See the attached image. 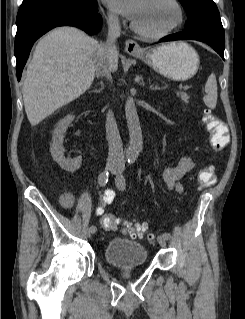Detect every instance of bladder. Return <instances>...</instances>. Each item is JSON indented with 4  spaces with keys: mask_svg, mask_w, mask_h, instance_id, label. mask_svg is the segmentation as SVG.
I'll use <instances>...</instances> for the list:
<instances>
[{
    "mask_svg": "<svg viewBox=\"0 0 245 319\" xmlns=\"http://www.w3.org/2000/svg\"><path fill=\"white\" fill-rule=\"evenodd\" d=\"M106 262L118 268H132L148 261L146 247L130 239L113 238L104 247Z\"/></svg>",
    "mask_w": 245,
    "mask_h": 319,
    "instance_id": "obj_1",
    "label": "bladder"
}]
</instances>
